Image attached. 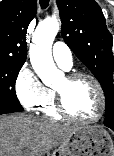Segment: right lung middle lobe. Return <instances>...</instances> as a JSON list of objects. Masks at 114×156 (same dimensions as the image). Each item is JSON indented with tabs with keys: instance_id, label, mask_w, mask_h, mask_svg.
Here are the masks:
<instances>
[{
	"instance_id": "right-lung-middle-lobe-1",
	"label": "right lung middle lobe",
	"mask_w": 114,
	"mask_h": 156,
	"mask_svg": "<svg viewBox=\"0 0 114 156\" xmlns=\"http://www.w3.org/2000/svg\"><path fill=\"white\" fill-rule=\"evenodd\" d=\"M23 62L0 60V109L22 111L15 93V82Z\"/></svg>"
}]
</instances>
